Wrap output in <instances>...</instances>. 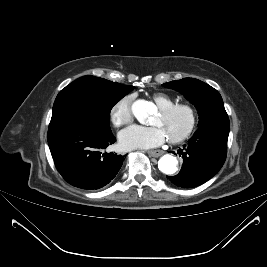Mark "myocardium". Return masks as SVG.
Here are the masks:
<instances>
[{"label":"myocardium","instance_id":"obj_1","mask_svg":"<svg viewBox=\"0 0 267 267\" xmlns=\"http://www.w3.org/2000/svg\"><path fill=\"white\" fill-rule=\"evenodd\" d=\"M179 109H183L188 113L189 123L187 128L180 135L168 138L169 142L173 144L181 143L188 139L194 132L197 125V112L195 108L188 103H174L172 105L160 108L159 112L162 115L167 116Z\"/></svg>","mask_w":267,"mask_h":267}]
</instances>
